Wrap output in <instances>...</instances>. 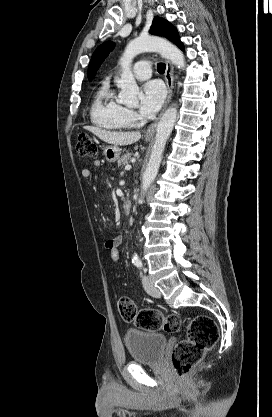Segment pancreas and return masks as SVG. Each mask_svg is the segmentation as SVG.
Instances as JSON below:
<instances>
[{"instance_id": "1", "label": "pancreas", "mask_w": 272, "mask_h": 417, "mask_svg": "<svg viewBox=\"0 0 272 417\" xmlns=\"http://www.w3.org/2000/svg\"><path fill=\"white\" fill-rule=\"evenodd\" d=\"M131 153L124 154L119 160H118V166L128 164L131 161Z\"/></svg>"}]
</instances>
